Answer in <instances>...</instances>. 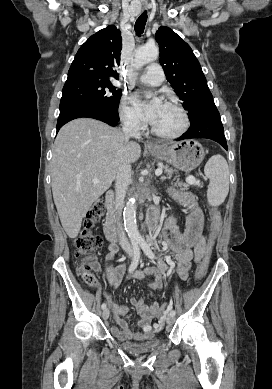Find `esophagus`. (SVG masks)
<instances>
[{
	"label": "esophagus",
	"instance_id": "34e87169",
	"mask_svg": "<svg viewBox=\"0 0 272 389\" xmlns=\"http://www.w3.org/2000/svg\"><path fill=\"white\" fill-rule=\"evenodd\" d=\"M145 147H147V148H156L157 145L154 144V143L151 142V141H146V142H145Z\"/></svg>",
	"mask_w": 272,
	"mask_h": 389
}]
</instances>
